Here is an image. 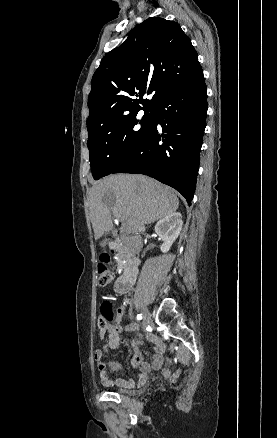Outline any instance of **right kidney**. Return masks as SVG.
Segmentation results:
<instances>
[{"instance_id":"1","label":"right kidney","mask_w":277,"mask_h":438,"mask_svg":"<svg viewBox=\"0 0 277 438\" xmlns=\"http://www.w3.org/2000/svg\"><path fill=\"white\" fill-rule=\"evenodd\" d=\"M182 226V214L180 212H172V214L157 222L155 232L163 240V244L160 246L161 252H164V254L169 252L172 244L177 240Z\"/></svg>"}]
</instances>
